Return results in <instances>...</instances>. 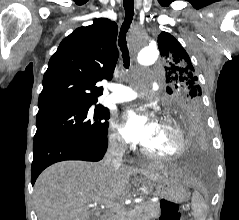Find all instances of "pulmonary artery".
Here are the masks:
<instances>
[{"instance_id":"1","label":"pulmonary artery","mask_w":239,"mask_h":220,"mask_svg":"<svg viewBox=\"0 0 239 220\" xmlns=\"http://www.w3.org/2000/svg\"><path fill=\"white\" fill-rule=\"evenodd\" d=\"M109 89L111 90V93L108 96V101L112 103L127 102L139 97L138 92L127 85L112 84Z\"/></svg>"}]
</instances>
